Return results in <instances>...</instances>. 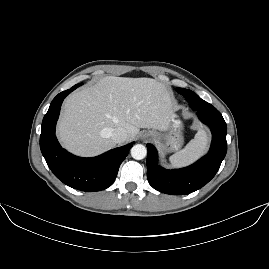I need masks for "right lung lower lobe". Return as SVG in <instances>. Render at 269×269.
Wrapping results in <instances>:
<instances>
[{
  "instance_id": "1",
  "label": "right lung lower lobe",
  "mask_w": 269,
  "mask_h": 269,
  "mask_svg": "<svg viewBox=\"0 0 269 269\" xmlns=\"http://www.w3.org/2000/svg\"><path fill=\"white\" fill-rule=\"evenodd\" d=\"M59 93L51 102L42 122L41 152L55 176L69 187L94 192L108 188L115 180L122 161L134 142L94 158H80L64 150L55 136L56 122L64 98L77 87Z\"/></svg>"
}]
</instances>
